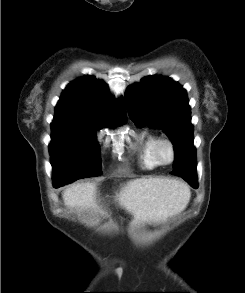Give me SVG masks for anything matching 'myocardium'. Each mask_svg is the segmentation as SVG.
Segmentation results:
<instances>
[{"label":"myocardium","instance_id":"obj_1","mask_svg":"<svg viewBox=\"0 0 245 293\" xmlns=\"http://www.w3.org/2000/svg\"><path fill=\"white\" fill-rule=\"evenodd\" d=\"M167 147L170 151V158L164 159L162 156V149ZM155 157L161 165L172 164L176 159V147L175 144L169 138H159L155 144L154 149Z\"/></svg>","mask_w":245,"mask_h":293}]
</instances>
